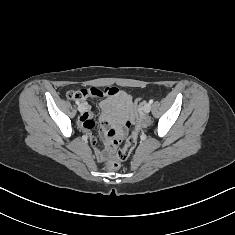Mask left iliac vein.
<instances>
[{"label":"left iliac vein","mask_w":235,"mask_h":235,"mask_svg":"<svg viewBox=\"0 0 235 235\" xmlns=\"http://www.w3.org/2000/svg\"><path fill=\"white\" fill-rule=\"evenodd\" d=\"M151 110V104L150 103H145V105L143 106V111L145 113H149Z\"/></svg>","instance_id":"obj_1"}]
</instances>
